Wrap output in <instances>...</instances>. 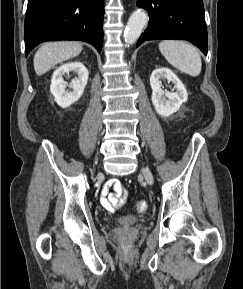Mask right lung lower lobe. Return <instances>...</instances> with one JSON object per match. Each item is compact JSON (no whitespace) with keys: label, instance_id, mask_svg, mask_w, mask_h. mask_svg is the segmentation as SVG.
<instances>
[{"label":"right lung lower lobe","instance_id":"right-lung-lower-lobe-1","mask_svg":"<svg viewBox=\"0 0 243 289\" xmlns=\"http://www.w3.org/2000/svg\"><path fill=\"white\" fill-rule=\"evenodd\" d=\"M104 0H28L25 56L50 40H80L98 52L103 43Z\"/></svg>","mask_w":243,"mask_h":289}]
</instances>
